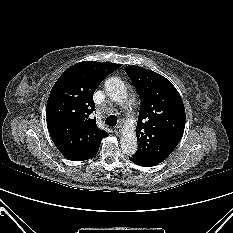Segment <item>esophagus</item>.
<instances>
[{
  "label": "esophagus",
  "instance_id": "esophagus-1",
  "mask_svg": "<svg viewBox=\"0 0 233 233\" xmlns=\"http://www.w3.org/2000/svg\"><path fill=\"white\" fill-rule=\"evenodd\" d=\"M122 126H121V124H119V125H117L116 127H115V133L117 134V135H120L121 133H122V128H121Z\"/></svg>",
  "mask_w": 233,
  "mask_h": 233
}]
</instances>
